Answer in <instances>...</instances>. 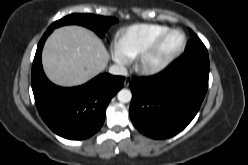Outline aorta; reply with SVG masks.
<instances>
[{
  "instance_id": "aorta-1",
  "label": "aorta",
  "mask_w": 248,
  "mask_h": 165,
  "mask_svg": "<svg viewBox=\"0 0 248 165\" xmlns=\"http://www.w3.org/2000/svg\"><path fill=\"white\" fill-rule=\"evenodd\" d=\"M117 98L122 103H128L131 101L132 93L128 89H122L118 92Z\"/></svg>"
}]
</instances>
